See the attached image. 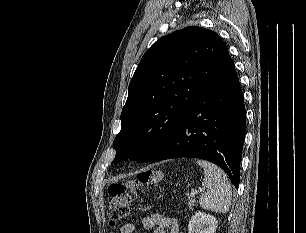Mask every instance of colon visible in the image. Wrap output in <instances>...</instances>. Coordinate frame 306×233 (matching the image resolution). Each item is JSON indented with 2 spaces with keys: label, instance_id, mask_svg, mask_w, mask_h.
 <instances>
[{
  "label": "colon",
  "instance_id": "colon-1",
  "mask_svg": "<svg viewBox=\"0 0 306 233\" xmlns=\"http://www.w3.org/2000/svg\"><path fill=\"white\" fill-rule=\"evenodd\" d=\"M159 170H149L140 173L136 179L125 182H114L109 185L108 219L111 225H116L125 219L130 211V205L142 187H154L162 179Z\"/></svg>",
  "mask_w": 306,
  "mask_h": 233
}]
</instances>
